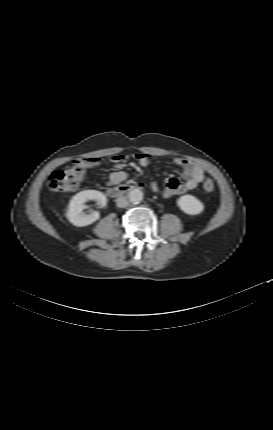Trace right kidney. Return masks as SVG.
I'll list each match as a JSON object with an SVG mask.
<instances>
[{"label": "right kidney", "mask_w": 273, "mask_h": 430, "mask_svg": "<svg viewBox=\"0 0 273 430\" xmlns=\"http://www.w3.org/2000/svg\"><path fill=\"white\" fill-rule=\"evenodd\" d=\"M90 200H95L99 205H106V196L96 190H85L77 193L70 201L66 216L70 223L75 226L83 227L97 221L100 217L99 212L95 211L90 215L83 212L85 203Z\"/></svg>", "instance_id": "right-kidney-1"}]
</instances>
